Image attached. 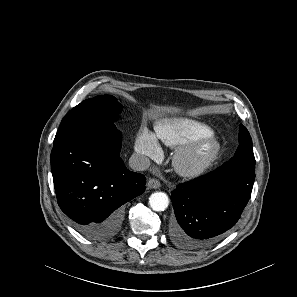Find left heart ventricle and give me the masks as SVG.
I'll use <instances>...</instances> for the list:
<instances>
[{
  "mask_svg": "<svg viewBox=\"0 0 297 297\" xmlns=\"http://www.w3.org/2000/svg\"><path fill=\"white\" fill-rule=\"evenodd\" d=\"M207 150H208V148H207L206 146L202 147V148L199 150V152H198V154H197V157H198V158L203 157V156L206 154Z\"/></svg>",
  "mask_w": 297,
  "mask_h": 297,
  "instance_id": "b2bd125f",
  "label": "left heart ventricle"
}]
</instances>
